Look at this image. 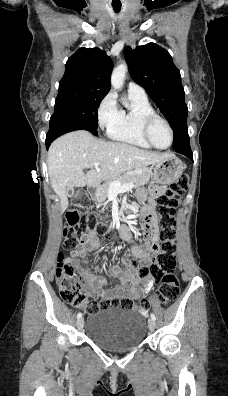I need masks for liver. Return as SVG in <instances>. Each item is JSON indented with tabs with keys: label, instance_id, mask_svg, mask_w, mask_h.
Instances as JSON below:
<instances>
[{
	"label": "liver",
	"instance_id": "6515ba94",
	"mask_svg": "<svg viewBox=\"0 0 228 396\" xmlns=\"http://www.w3.org/2000/svg\"><path fill=\"white\" fill-rule=\"evenodd\" d=\"M171 156L150 152L122 142L103 141L87 131L67 133L55 140L48 151L47 166L62 212L68 207L73 187H98L102 181L116 179L133 169H142ZM99 166L95 167L94 163ZM90 168L86 174L84 169Z\"/></svg>",
	"mask_w": 228,
	"mask_h": 396
}]
</instances>
